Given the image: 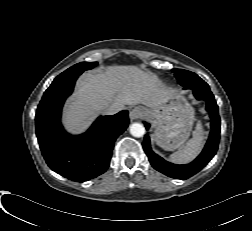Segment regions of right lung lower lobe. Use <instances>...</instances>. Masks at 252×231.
<instances>
[{
	"instance_id": "98d812e1",
	"label": "right lung lower lobe",
	"mask_w": 252,
	"mask_h": 231,
	"mask_svg": "<svg viewBox=\"0 0 252 231\" xmlns=\"http://www.w3.org/2000/svg\"><path fill=\"white\" fill-rule=\"evenodd\" d=\"M77 77L52 84L44 93L35 117L36 135L48 166L73 181L83 182L104 173L110 164L116 138L128 124V111L99 117L90 129L69 135L60 122L65 99Z\"/></svg>"
}]
</instances>
